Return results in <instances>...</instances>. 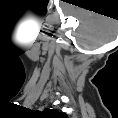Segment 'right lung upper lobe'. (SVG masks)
Listing matches in <instances>:
<instances>
[{
    "label": "right lung upper lobe",
    "mask_w": 118,
    "mask_h": 118,
    "mask_svg": "<svg viewBox=\"0 0 118 118\" xmlns=\"http://www.w3.org/2000/svg\"><path fill=\"white\" fill-rule=\"evenodd\" d=\"M48 111H49L50 113H53V114L58 113V111H56V110H50V109H48Z\"/></svg>",
    "instance_id": "obj_1"
}]
</instances>
